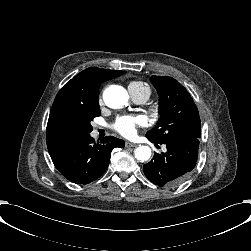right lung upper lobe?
Instances as JSON below:
<instances>
[{"label":"right lung upper lobe","instance_id":"obj_1","mask_svg":"<svg viewBox=\"0 0 251 251\" xmlns=\"http://www.w3.org/2000/svg\"><path fill=\"white\" fill-rule=\"evenodd\" d=\"M124 73L126 72L91 67L78 73L61 88L52 105L46 129L50 156L81 140L83 136L72 122V114L99 105L101 83Z\"/></svg>","mask_w":251,"mask_h":251}]
</instances>
